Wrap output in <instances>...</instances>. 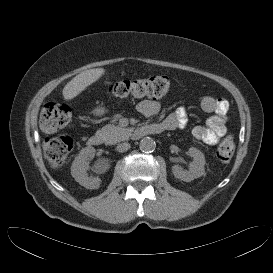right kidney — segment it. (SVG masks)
Segmentation results:
<instances>
[{
	"instance_id": "obj_1",
	"label": "right kidney",
	"mask_w": 273,
	"mask_h": 273,
	"mask_svg": "<svg viewBox=\"0 0 273 273\" xmlns=\"http://www.w3.org/2000/svg\"><path fill=\"white\" fill-rule=\"evenodd\" d=\"M95 149L93 147L83 148L79 154L75 157L72 167L71 175L72 177L85 188L91 189L94 188L98 183V178L91 179L88 177L86 169V160L94 157Z\"/></svg>"
}]
</instances>
